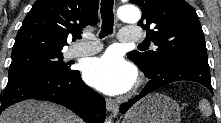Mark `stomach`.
Listing matches in <instances>:
<instances>
[{
    "mask_svg": "<svg viewBox=\"0 0 221 123\" xmlns=\"http://www.w3.org/2000/svg\"><path fill=\"white\" fill-rule=\"evenodd\" d=\"M181 110L170 97L152 93L138 101L122 123H180Z\"/></svg>",
    "mask_w": 221,
    "mask_h": 123,
    "instance_id": "obj_1",
    "label": "stomach"
}]
</instances>
